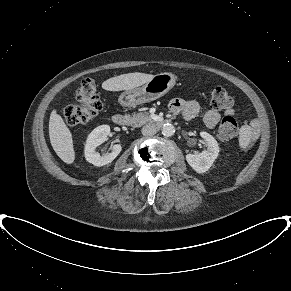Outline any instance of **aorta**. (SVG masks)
Segmentation results:
<instances>
[{
    "label": "aorta",
    "instance_id": "1",
    "mask_svg": "<svg viewBox=\"0 0 291 291\" xmlns=\"http://www.w3.org/2000/svg\"><path fill=\"white\" fill-rule=\"evenodd\" d=\"M175 133V128L172 124H164L162 127V134L166 137H170Z\"/></svg>",
    "mask_w": 291,
    "mask_h": 291
}]
</instances>
